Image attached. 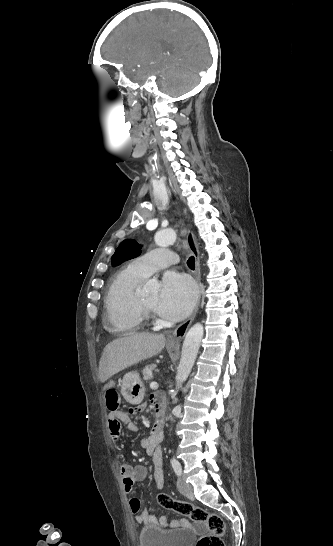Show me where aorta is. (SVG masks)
Listing matches in <instances>:
<instances>
[{"instance_id":"obj_1","label":"aorta","mask_w":333,"mask_h":546,"mask_svg":"<svg viewBox=\"0 0 333 546\" xmlns=\"http://www.w3.org/2000/svg\"><path fill=\"white\" fill-rule=\"evenodd\" d=\"M176 239L177 234L172 229L162 230L155 235V242L160 247H167L170 244L174 243ZM203 334V325L197 323L189 329L185 336L181 352V359L177 368L176 392L182 387L183 382L186 381L193 368L197 353L199 351L200 343L203 338Z\"/></svg>"}]
</instances>
